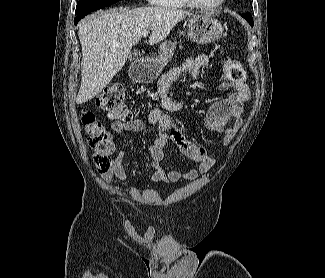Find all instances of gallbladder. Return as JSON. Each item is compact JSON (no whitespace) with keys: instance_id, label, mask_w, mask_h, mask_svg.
<instances>
[{"instance_id":"gallbladder-1","label":"gallbladder","mask_w":325,"mask_h":278,"mask_svg":"<svg viewBox=\"0 0 325 278\" xmlns=\"http://www.w3.org/2000/svg\"><path fill=\"white\" fill-rule=\"evenodd\" d=\"M141 57V53L138 50H133L130 52L131 60H138Z\"/></svg>"}]
</instances>
